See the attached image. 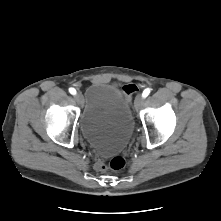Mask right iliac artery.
Here are the masks:
<instances>
[{
  "instance_id": "right-iliac-artery-1",
  "label": "right iliac artery",
  "mask_w": 221,
  "mask_h": 221,
  "mask_svg": "<svg viewBox=\"0 0 221 221\" xmlns=\"http://www.w3.org/2000/svg\"><path fill=\"white\" fill-rule=\"evenodd\" d=\"M69 92L72 94V95H75L76 94V90L74 88H70L69 89Z\"/></svg>"
}]
</instances>
